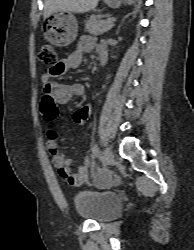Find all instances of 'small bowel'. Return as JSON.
Wrapping results in <instances>:
<instances>
[{"instance_id": "obj_1", "label": "small bowel", "mask_w": 194, "mask_h": 250, "mask_svg": "<svg viewBox=\"0 0 194 250\" xmlns=\"http://www.w3.org/2000/svg\"><path fill=\"white\" fill-rule=\"evenodd\" d=\"M96 50L98 55L106 53L103 46H98L90 36H83L78 43L77 48L65 59L56 64L53 70L45 72L42 76L43 88L46 92L51 94L59 103H66L72 98H81L84 96L85 89L82 84H64L52 83L49 78L50 75H61L71 69L80 66L83 56L86 53ZM92 113V105L87 104L77 109L73 114V120L79 125H84ZM52 121V120H48ZM47 148L51 153V160L60 174L67 180L70 185L79 186L88 181L90 158L86 157L77 172L71 171L72 160L65 154L57 150V134L54 130L47 131Z\"/></svg>"}]
</instances>
